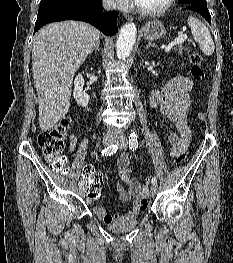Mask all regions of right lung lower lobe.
I'll return each mask as SVG.
<instances>
[{
  "mask_svg": "<svg viewBox=\"0 0 233 263\" xmlns=\"http://www.w3.org/2000/svg\"><path fill=\"white\" fill-rule=\"evenodd\" d=\"M101 0H79L72 12L55 13L42 19H37L34 34L45 24L62 20H81L92 24L107 36L114 35L117 31V11L102 13Z\"/></svg>",
  "mask_w": 233,
  "mask_h": 263,
  "instance_id": "98d812e1",
  "label": "right lung lower lobe"
}]
</instances>
